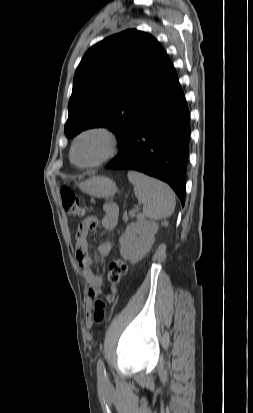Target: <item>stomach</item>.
<instances>
[{
    "mask_svg": "<svg viewBox=\"0 0 253 413\" xmlns=\"http://www.w3.org/2000/svg\"><path fill=\"white\" fill-rule=\"evenodd\" d=\"M79 187L86 194L97 198L112 197L117 191L115 182L104 176H92L80 182Z\"/></svg>",
    "mask_w": 253,
    "mask_h": 413,
    "instance_id": "0dacf381",
    "label": "stomach"
}]
</instances>
